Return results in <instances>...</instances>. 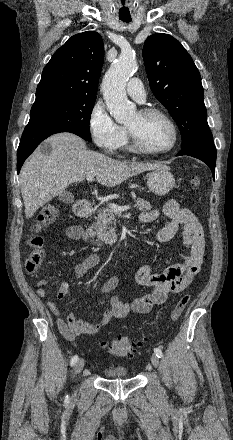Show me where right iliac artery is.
<instances>
[{"label":"right iliac artery","instance_id":"right-iliac-artery-1","mask_svg":"<svg viewBox=\"0 0 233 440\" xmlns=\"http://www.w3.org/2000/svg\"><path fill=\"white\" fill-rule=\"evenodd\" d=\"M77 360H78V356H77V355L73 356V357L71 358L70 364H71V365H75V363L77 362Z\"/></svg>","mask_w":233,"mask_h":440}]
</instances>
